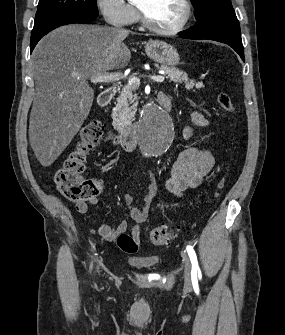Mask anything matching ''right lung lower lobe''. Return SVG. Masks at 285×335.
Here are the masks:
<instances>
[{
  "label": "right lung lower lobe",
  "mask_w": 285,
  "mask_h": 335,
  "mask_svg": "<svg viewBox=\"0 0 285 335\" xmlns=\"http://www.w3.org/2000/svg\"><path fill=\"white\" fill-rule=\"evenodd\" d=\"M97 16L87 15L76 12L58 13L35 22L31 34L30 52L33 51L38 41L49 31L67 24L90 23Z\"/></svg>",
  "instance_id": "right-lung-lower-lobe-1"
}]
</instances>
